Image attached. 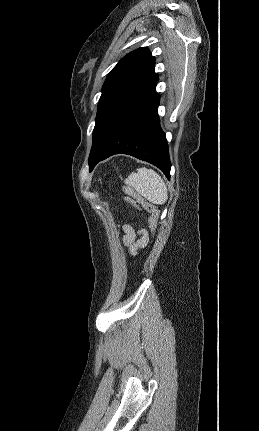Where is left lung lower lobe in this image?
I'll return each mask as SVG.
<instances>
[{"label":"left lung lower lobe","mask_w":259,"mask_h":431,"mask_svg":"<svg viewBox=\"0 0 259 431\" xmlns=\"http://www.w3.org/2000/svg\"><path fill=\"white\" fill-rule=\"evenodd\" d=\"M156 90L129 111L114 127L94 156L90 171L114 154H128L157 166L170 179L171 163L165 133L158 116Z\"/></svg>","instance_id":"left-lung-lower-lobe-1"}]
</instances>
